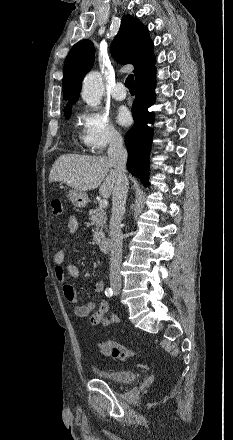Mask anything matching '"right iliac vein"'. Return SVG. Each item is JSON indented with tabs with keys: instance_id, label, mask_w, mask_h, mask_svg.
<instances>
[{
	"instance_id": "1",
	"label": "right iliac vein",
	"mask_w": 233,
	"mask_h": 440,
	"mask_svg": "<svg viewBox=\"0 0 233 440\" xmlns=\"http://www.w3.org/2000/svg\"><path fill=\"white\" fill-rule=\"evenodd\" d=\"M112 289L114 290V292H115L116 294H119L121 288H120L119 285H112Z\"/></svg>"
}]
</instances>
